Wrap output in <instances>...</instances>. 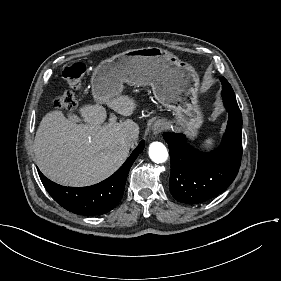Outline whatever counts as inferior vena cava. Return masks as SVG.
Here are the masks:
<instances>
[{"instance_id":"inferior-vena-cava-1","label":"inferior vena cava","mask_w":281,"mask_h":281,"mask_svg":"<svg viewBox=\"0 0 281 281\" xmlns=\"http://www.w3.org/2000/svg\"><path fill=\"white\" fill-rule=\"evenodd\" d=\"M138 139V135H134V134H124L121 137V140L123 143L126 144H134Z\"/></svg>"}]
</instances>
